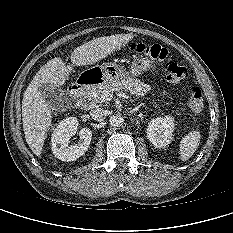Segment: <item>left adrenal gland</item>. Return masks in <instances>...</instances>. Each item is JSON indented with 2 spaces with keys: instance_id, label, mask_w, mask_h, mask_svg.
<instances>
[{
  "instance_id": "left-adrenal-gland-1",
  "label": "left adrenal gland",
  "mask_w": 233,
  "mask_h": 233,
  "mask_svg": "<svg viewBox=\"0 0 233 233\" xmlns=\"http://www.w3.org/2000/svg\"><path fill=\"white\" fill-rule=\"evenodd\" d=\"M144 105L143 103L139 104L137 107L133 108V109H130L131 110V113L133 112H137L139 110V108Z\"/></svg>"
}]
</instances>
